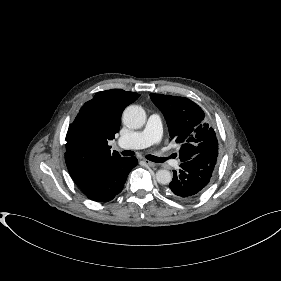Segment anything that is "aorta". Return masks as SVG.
I'll return each mask as SVG.
<instances>
[{
	"label": "aorta",
	"instance_id": "762f6f07",
	"mask_svg": "<svg viewBox=\"0 0 281 281\" xmlns=\"http://www.w3.org/2000/svg\"><path fill=\"white\" fill-rule=\"evenodd\" d=\"M145 121L146 113L140 106L130 105L123 112V122L129 128H141ZM156 180L160 184L167 185L172 181V174L168 170L160 169L156 172Z\"/></svg>",
	"mask_w": 281,
	"mask_h": 281
}]
</instances>
